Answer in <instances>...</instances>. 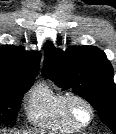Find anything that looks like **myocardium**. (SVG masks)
Returning <instances> with one entry per match:
<instances>
[{"instance_id": "obj_1", "label": "myocardium", "mask_w": 116, "mask_h": 134, "mask_svg": "<svg viewBox=\"0 0 116 134\" xmlns=\"http://www.w3.org/2000/svg\"><path fill=\"white\" fill-rule=\"evenodd\" d=\"M77 107H81L86 111V119L79 117ZM63 109L68 118L80 128L90 125L94 120L95 112L93 106L81 95L72 93L65 95L63 98Z\"/></svg>"}]
</instances>
